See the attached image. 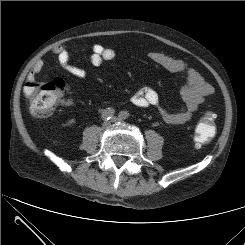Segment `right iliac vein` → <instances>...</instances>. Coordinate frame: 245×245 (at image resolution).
<instances>
[{
  "mask_svg": "<svg viewBox=\"0 0 245 245\" xmlns=\"http://www.w3.org/2000/svg\"><path fill=\"white\" fill-rule=\"evenodd\" d=\"M113 122H114V119H113ZM110 126H111V122L105 121L102 125V129L106 130V129L110 128Z\"/></svg>",
  "mask_w": 245,
  "mask_h": 245,
  "instance_id": "right-iliac-vein-1",
  "label": "right iliac vein"
}]
</instances>
